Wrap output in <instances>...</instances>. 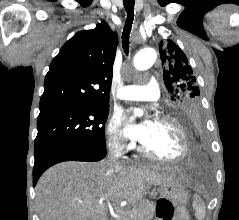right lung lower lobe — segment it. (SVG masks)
Returning <instances> with one entry per match:
<instances>
[{
    "instance_id": "right-lung-lower-lobe-1",
    "label": "right lung lower lobe",
    "mask_w": 239,
    "mask_h": 220,
    "mask_svg": "<svg viewBox=\"0 0 239 220\" xmlns=\"http://www.w3.org/2000/svg\"><path fill=\"white\" fill-rule=\"evenodd\" d=\"M106 155V148L94 149L81 146L55 145L35 151L33 168V185L35 186L42 173L50 166L68 160L99 161Z\"/></svg>"
}]
</instances>
